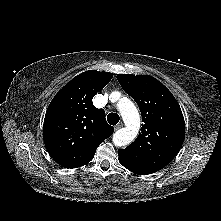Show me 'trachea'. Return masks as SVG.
Returning <instances> with one entry per match:
<instances>
[{
    "label": "trachea",
    "mask_w": 221,
    "mask_h": 221,
    "mask_svg": "<svg viewBox=\"0 0 221 221\" xmlns=\"http://www.w3.org/2000/svg\"><path fill=\"white\" fill-rule=\"evenodd\" d=\"M119 115L116 113H109L107 116V121L110 125H116L119 122Z\"/></svg>",
    "instance_id": "trachea-1"
}]
</instances>
